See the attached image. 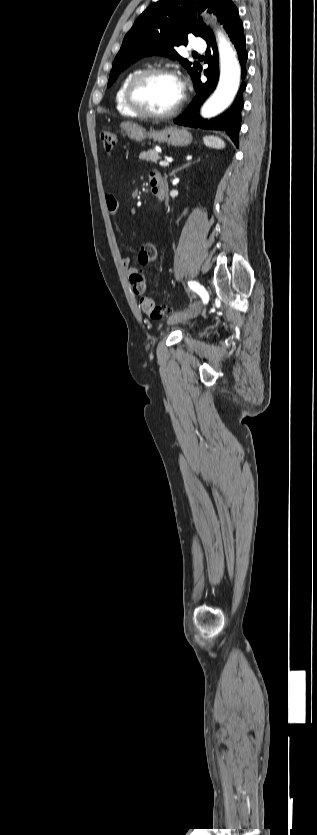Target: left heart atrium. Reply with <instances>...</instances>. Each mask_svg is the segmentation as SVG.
<instances>
[{
  "label": "left heart atrium",
  "instance_id": "1",
  "mask_svg": "<svg viewBox=\"0 0 317 835\" xmlns=\"http://www.w3.org/2000/svg\"><path fill=\"white\" fill-rule=\"evenodd\" d=\"M179 89H180V93H181V95H182V93H183V91H184V85H183L182 83H180V82H179Z\"/></svg>",
  "mask_w": 317,
  "mask_h": 835
}]
</instances>
